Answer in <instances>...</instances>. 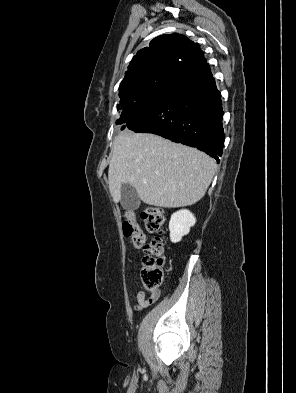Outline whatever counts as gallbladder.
Returning a JSON list of instances; mask_svg holds the SVG:
<instances>
[{
	"mask_svg": "<svg viewBox=\"0 0 296 393\" xmlns=\"http://www.w3.org/2000/svg\"><path fill=\"white\" fill-rule=\"evenodd\" d=\"M121 205L125 210H136L140 205V199L136 189L130 184H123L121 187Z\"/></svg>",
	"mask_w": 296,
	"mask_h": 393,
	"instance_id": "gallbladder-1",
	"label": "gallbladder"
}]
</instances>
